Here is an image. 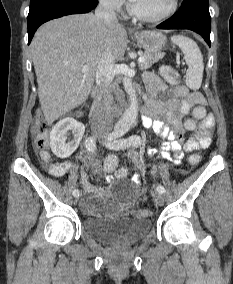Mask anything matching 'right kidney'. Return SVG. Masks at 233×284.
<instances>
[{
	"instance_id": "ca27d5eb",
	"label": "right kidney",
	"mask_w": 233,
	"mask_h": 284,
	"mask_svg": "<svg viewBox=\"0 0 233 284\" xmlns=\"http://www.w3.org/2000/svg\"><path fill=\"white\" fill-rule=\"evenodd\" d=\"M72 130V137L69 131ZM85 126L71 117L60 120L50 134V147L59 158L69 157L79 146Z\"/></svg>"
}]
</instances>
